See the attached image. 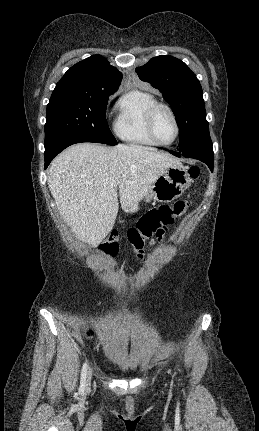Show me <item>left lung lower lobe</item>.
<instances>
[{
	"label": "left lung lower lobe",
	"mask_w": 259,
	"mask_h": 431,
	"mask_svg": "<svg viewBox=\"0 0 259 431\" xmlns=\"http://www.w3.org/2000/svg\"><path fill=\"white\" fill-rule=\"evenodd\" d=\"M174 155L181 157L184 156L186 158H194L198 159L208 165L211 171H213L214 165V156L213 149H194L186 152L170 151Z\"/></svg>",
	"instance_id": "obj_1"
}]
</instances>
